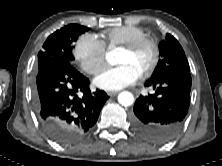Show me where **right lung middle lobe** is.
<instances>
[{"label": "right lung middle lobe", "mask_w": 222, "mask_h": 166, "mask_svg": "<svg viewBox=\"0 0 222 166\" xmlns=\"http://www.w3.org/2000/svg\"><path fill=\"white\" fill-rule=\"evenodd\" d=\"M88 30L87 27L70 24L51 34L43 44V49L38 53V70L54 64L72 65L73 43Z\"/></svg>", "instance_id": "1"}]
</instances>
